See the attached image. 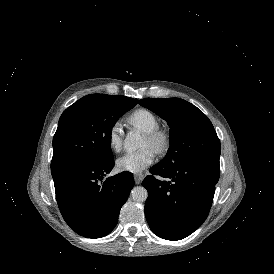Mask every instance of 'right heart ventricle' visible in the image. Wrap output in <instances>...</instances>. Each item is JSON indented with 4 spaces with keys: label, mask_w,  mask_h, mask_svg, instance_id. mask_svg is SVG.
I'll return each mask as SVG.
<instances>
[{
    "label": "right heart ventricle",
    "mask_w": 274,
    "mask_h": 274,
    "mask_svg": "<svg viewBox=\"0 0 274 274\" xmlns=\"http://www.w3.org/2000/svg\"><path fill=\"white\" fill-rule=\"evenodd\" d=\"M128 122L142 130L144 133H151L158 129L157 118L148 111H138L128 118Z\"/></svg>",
    "instance_id": "e07e8e85"
}]
</instances>
